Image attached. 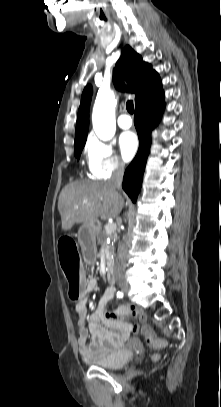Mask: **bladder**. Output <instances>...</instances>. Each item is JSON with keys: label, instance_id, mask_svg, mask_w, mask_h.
<instances>
[{"label": "bladder", "instance_id": "1", "mask_svg": "<svg viewBox=\"0 0 221 407\" xmlns=\"http://www.w3.org/2000/svg\"><path fill=\"white\" fill-rule=\"evenodd\" d=\"M139 350L138 345L121 347L104 356L88 359L87 363L104 369H119L125 366L133 358L136 351Z\"/></svg>", "mask_w": 221, "mask_h": 407}]
</instances>
